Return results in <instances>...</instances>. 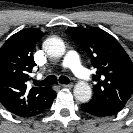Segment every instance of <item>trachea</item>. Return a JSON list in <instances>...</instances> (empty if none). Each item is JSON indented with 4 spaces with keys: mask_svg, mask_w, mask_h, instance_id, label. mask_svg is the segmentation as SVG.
I'll use <instances>...</instances> for the list:
<instances>
[{
    "mask_svg": "<svg viewBox=\"0 0 133 133\" xmlns=\"http://www.w3.org/2000/svg\"><path fill=\"white\" fill-rule=\"evenodd\" d=\"M58 80L60 83H63V84H69L70 82L69 78L66 76H60ZM56 82H57V77L55 75H50V76H47L46 79L43 81H35L34 84L36 86H43V85H53Z\"/></svg>",
    "mask_w": 133,
    "mask_h": 133,
    "instance_id": "3493384b",
    "label": "trachea"
}]
</instances>
